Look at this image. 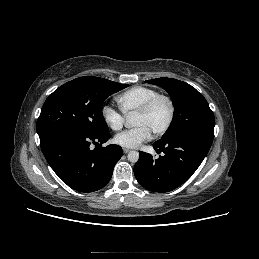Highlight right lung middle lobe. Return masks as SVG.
I'll return each instance as SVG.
<instances>
[{"instance_id":"right-lung-middle-lobe-1","label":"right lung middle lobe","mask_w":259,"mask_h":259,"mask_svg":"<svg viewBox=\"0 0 259 259\" xmlns=\"http://www.w3.org/2000/svg\"><path fill=\"white\" fill-rule=\"evenodd\" d=\"M127 86L99 77H80L65 83L46 99L37 120L38 134L59 128L95 135L108 133L102 104Z\"/></svg>"}]
</instances>
